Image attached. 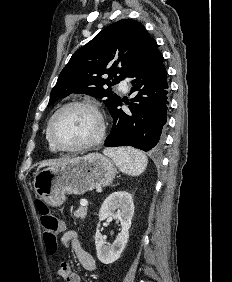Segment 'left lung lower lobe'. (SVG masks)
<instances>
[{
  "label": "left lung lower lobe",
  "mask_w": 232,
  "mask_h": 282,
  "mask_svg": "<svg viewBox=\"0 0 232 282\" xmlns=\"http://www.w3.org/2000/svg\"><path fill=\"white\" fill-rule=\"evenodd\" d=\"M131 78L129 113L118 106L109 111L113 127L104 146H132L143 151H155L164 143V126L168 110L167 71L163 56L153 39L137 66L127 76Z\"/></svg>",
  "instance_id": "1"
}]
</instances>
